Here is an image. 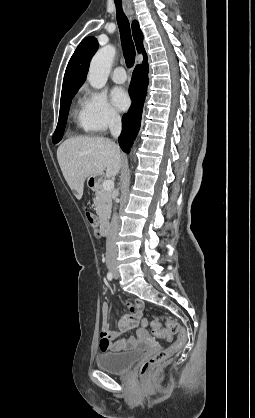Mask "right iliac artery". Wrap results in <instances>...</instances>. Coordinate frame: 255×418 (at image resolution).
I'll return each instance as SVG.
<instances>
[{
	"label": "right iliac artery",
	"instance_id": "1",
	"mask_svg": "<svg viewBox=\"0 0 255 418\" xmlns=\"http://www.w3.org/2000/svg\"><path fill=\"white\" fill-rule=\"evenodd\" d=\"M107 278H108V280H109V281H111V280L113 279V274H112V272H108V274H107Z\"/></svg>",
	"mask_w": 255,
	"mask_h": 418
}]
</instances>
